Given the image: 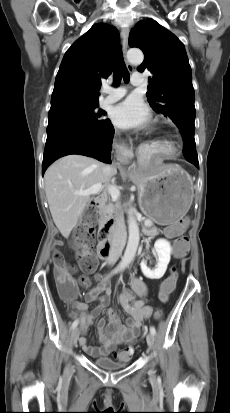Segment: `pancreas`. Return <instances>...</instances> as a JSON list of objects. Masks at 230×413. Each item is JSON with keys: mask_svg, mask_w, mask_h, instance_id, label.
<instances>
[{"mask_svg": "<svg viewBox=\"0 0 230 413\" xmlns=\"http://www.w3.org/2000/svg\"><path fill=\"white\" fill-rule=\"evenodd\" d=\"M119 208V203H115L112 199L108 198L100 207L99 214L101 218L110 219L114 216V214L117 212ZM145 222H147V220ZM144 233L148 236H154L159 233V229L155 226H152L151 228H146L144 230Z\"/></svg>", "mask_w": 230, "mask_h": 413, "instance_id": "pancreas-1", "label": "pancreas"}]
</instances>
